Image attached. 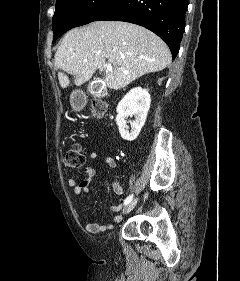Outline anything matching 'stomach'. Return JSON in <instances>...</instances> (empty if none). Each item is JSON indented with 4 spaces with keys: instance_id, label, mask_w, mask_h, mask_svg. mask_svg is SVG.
Returning <instances> with one entry per match:
<instances>
[{
    "instance_id": "0dacf381",
    "label": "stomach",
    "mask_w": 240,
    "mask_h": 281,
    "mask_svg": "<svg viewBox=\"0 0 240 281\" xmlns=\"http://www.w3.org/2000/svg\"><path fill=\"white\" fill-rule=\"evenodd\" d=\"M72 99H73V96H72ZM72 102H73V100H72ZM73 105H75V104L73 103Z\"/></svg>"
}]
</instances>
